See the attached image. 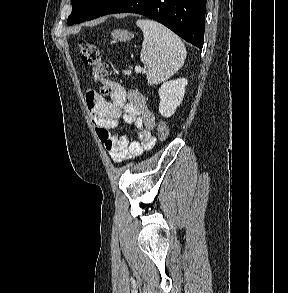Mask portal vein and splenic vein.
I'll return each instance as SVG.
<instances>
[{
  "label": "portal vein and splenic vein",
  "mask_w": 288,
  "mask_h": 293,
  "mask_svg": "<svg viewBox=\"0 0 288 293\" xmlns=\"http://www.w3.org/2000/svg\"><path fill=\"white\" fill-rule=\"evenodd\" d=\"M135 71H136V72H142V68H141V67H136V68H135Z\"/></svg>",
  "instance_id": "1"
}]
</instances>
